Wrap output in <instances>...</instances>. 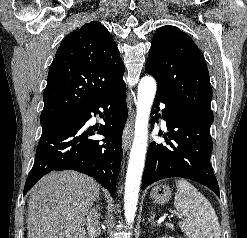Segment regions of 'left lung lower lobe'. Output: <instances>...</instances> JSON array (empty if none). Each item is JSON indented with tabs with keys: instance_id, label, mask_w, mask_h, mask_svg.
<instances>
[{
	"instance_id": "0a47b994",
	"label": "left lung lower lobe",
	"mask_w": 247,
	"mask_h": 238,
	"mask_svg": "<svg viewBox=\"0 0 247 238\" xmlns=\"http://www.w3.org/2000/svg\"><path fill=\"white\" fill-rule=\"evenodd\" d=\"M166 106L162 117L166 121L168 146L152 142L147 152L142 189L170 177H182L199 182L219 197L218 182L210 164L212 139L210 126L196 114L166 101L156 93L153 113L159 111V104ZM161 117V115H159Z\"/></svg>"
}]
</instances>
